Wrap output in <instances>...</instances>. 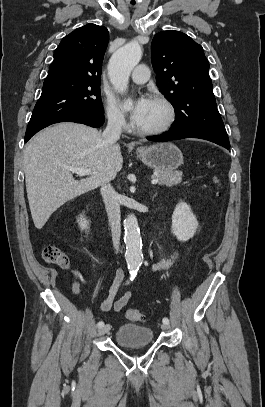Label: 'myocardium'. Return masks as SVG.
<instances>
[{
  "instance_id": "1",
  "label": "myocardium",
  "mask_w": 265,
  "mask_h": 407,
  "mask_svg": "<svg viewBox=\"0 0 265 407\" xmlns=\"http://www.w3.org/2000/svg\"><path fill=\"white\" fill-rule=\"evenodd\" d=\"M152 100L163 105V107L166 110V118L160 126L153 128V129H141V128H138L137 126H135L134 130L138 135L156 136V135L163 134L173 126V124L176 120V116H177L176 108L167 97H165L163 95H154L152 97Z\"/></svg>"
}]
</instances>
